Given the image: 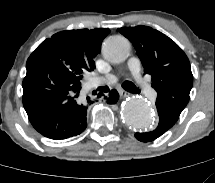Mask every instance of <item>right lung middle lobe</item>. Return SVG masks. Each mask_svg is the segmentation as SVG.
<instances>
[{
	"mask_svg": "<svg viewBox=\"0 0 215 183\" xmlns=\"http://www.w3.org/2000/svg\"><path fill=\"white\" fill-rule=\"evenodd\" d=\"M65 62V73L72 81L80 82L82 80L84 72L89 71L81 61H78L75 58L68 57Z\"/></svg>",
	"mask_w": 215,
	"mask_h": 183,
	"instance_id": "right-lung-middle-lobe-1",
	"label": "right lung middle lobe"
}]
</instances>
